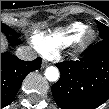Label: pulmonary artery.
<instances>
[{
    "instance_id": "e3ab8cb5",
    "label": "pulmonary artery",
    "mask_w": 109,
    "mask_h": 109,
    "mask_svg": "<svg viewBox=\"0 0 109 109\" xmlns=\"http://www.w3.org/2000/svg\"><path fill=\"white\" fill-rule=\"evenodd\" d=\"M41 53H42V54L44 53L43 50H41Z\"/></svg>"
}]
</instances>
